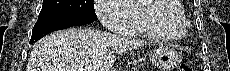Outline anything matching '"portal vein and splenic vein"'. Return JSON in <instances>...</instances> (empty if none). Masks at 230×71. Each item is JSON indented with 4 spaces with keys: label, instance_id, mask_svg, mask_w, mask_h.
Here are the masks:
<instances>
[{
    "label": "portal vein and splenic vein",
    "instance_id": "1",
    "mask_svg": "<svg viewBox=\"0 0 230 71\" xmlns=\"http://www.w3.org/2000/svg\"><path fill=\"white\" fill-rule=\"evenodd\" d=\"M79 71H93L91 68H84V69H79Z\"/></svg>",
    "mask_w": 230,
    "mask_h": 71
}]
</instances>
